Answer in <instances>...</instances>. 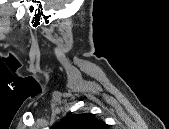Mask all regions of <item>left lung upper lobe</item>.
Returning a JSON list of instances; mask_svg holds the SVG:
<instances>
[{"label": "left lung upper lobe", "mask_w": 169, "mask_h": 129, "mask_svg": "<svg viewBox=\"0 0 169 129\" xmlns=\"http://www.w3.org/2000/svg\"><path fill=\"white\" fill-rule=\"evenodd\" d=\"M56 129H107V125L91 113L70 116L60 121Z\"/></svg>", "instance_id": "5c2ea615"}]
</instances>
